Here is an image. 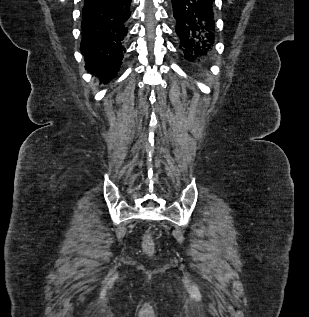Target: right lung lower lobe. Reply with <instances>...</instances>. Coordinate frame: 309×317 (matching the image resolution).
I'll list each match as a JSON object with an SVG mask.
<instances>
[{
  "label": "right lung lower lobe",
  "instance_id": "obj_1",
  "mask_svg": "<svg viewBox=\"0 0 309 317\" xmlns=\"http://www.w3.org/2000/svg\"><path fill=\"white\" fill-rule=\"evenodd\" d=\"M131 0H85L80 50L86 69L108 83L125 53Z\"/></svg>",
  "mask_w": 309,
  "mask_h": 317
}]
</instances>
